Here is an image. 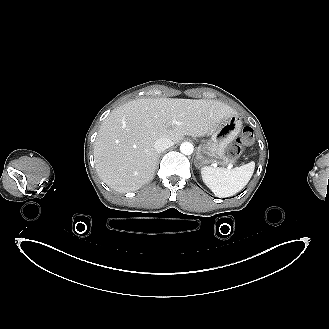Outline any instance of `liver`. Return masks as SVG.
Wrapping results in <instances>:
<instances>
[{
    "label": "liver",
    "instance_id": "obj_1",
    "mask_svg": "<svg viewBox=\"0 0 329 329\" xmlns=\"http://www.w3.org/2000/svg\"><path fill=\"white\" fill-rule=\"evenodd\" d=\"M237 112L217 100L137 99L114 109L102 122L94 146L99 177L118 192L136 191L154 176L161 137L179 142L206 135Z\"/></svg>",
    "mask_w": 329,
    "mask_h": 329
}]
</instances>
